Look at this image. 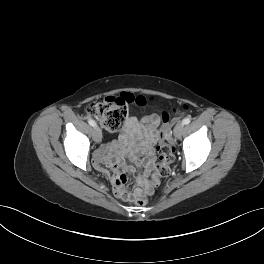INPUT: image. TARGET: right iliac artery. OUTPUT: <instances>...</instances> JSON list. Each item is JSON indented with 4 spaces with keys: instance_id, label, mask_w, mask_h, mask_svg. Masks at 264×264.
Listing matches in <instances>:
<instances>
[{
    "instance_id": "right-iliac-artery-1",
    "label": "right iliac artery",
    "mask_w": 264,
    "mask_h": 264,
    "mask_svg": "<svg viewBox=\"0 0 264 264\" xmlns=\"http://www.w3.org/2000/svg\"><path fill=\"white\" fill-rule=\"evenodd\" d=\"M88 123H89L91 126H93V127H95V126H96V123H95V121H94V120H92V119H88Z\"/></svg>"
}]
</instances>
